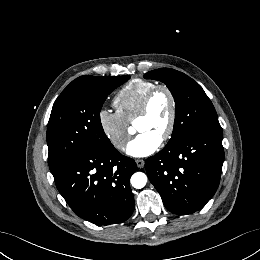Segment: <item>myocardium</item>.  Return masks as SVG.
Returning a JSON list of instances; mask_svg holds the SVG:
<instances>
[{"mask_svg":"<svg viewBox=\"0 0 260 260\" xmlns=\"http://www.w3.org/2000/svg\"><path fill=\"white\" fill-rule=\"evenodd\" d=\"M160 91H163L168 95V97L170 99V104H171L169 122H168L167 128L161 138V141L165 142L172 137L174 130H175V126H176V120H177L176 97H175L173 91L167 85H164V84L156 85L146 93V95L144 96V98L140 104L139 110L136 114L135 122L138 119L143 118L148 114L152 99Z\"/></svg>","mask_w":260,"mask_h":260,"instance_id":"f54148a6","label":"myocardium"}]
</instances>
